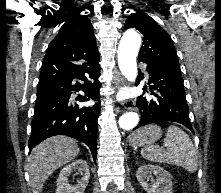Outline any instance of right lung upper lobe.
<instances>
[{"instance_id":"1","label":"right lung upper lobe","mask_w":221,"mask_h":193,"mask_svg":"<svg viewBox=\"0 0 221 193\" xmlns=\"http://www.w3.org/2000/svg\"><path fill=\"white\" fill-rule=\"evenodd\" d=\"M99 62L93 27L85 15L75 14L48 46L38 88L86 74Z\"/></svg>"}]
</instances>
